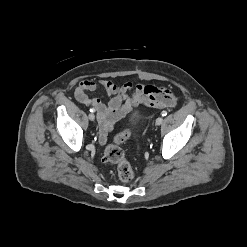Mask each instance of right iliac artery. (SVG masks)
Returning a JSON list of instances; mask_svg holds the SVG:
<instances>
[{"instance_id": "82829eb1", "label": "right iliac artery", "mask_w": 247, "mask_h": 247, "mask_svg": "<svg viewBox=\"0 0 247 247\" xmlns=\"http://www.w3.org/2000/svg\"><path fill=\"white\" fill-rule=\"evenodd\" d=\"M90 112H94V109L93 108H90Z\"/></svg>"}]
</instances>
